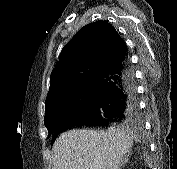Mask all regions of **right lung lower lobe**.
<instances>
[{"label": "right lung lower lobe", "instance_id": "1", "mask_svg": "<svg viewBox=\"0 0 177 169\" xmlns=\"http://www.w3.org/2000/svg\"><path fill=\"white\" fill-rule=\"evenodd\" d=\"M92 82L94 93L89 105L54 132L52 143L61 132L73 127H107L139 118L135 75L127 52L100 70Z\"/></svg>", "mask_w": 177, "mask_h": 169}]
</instances>
